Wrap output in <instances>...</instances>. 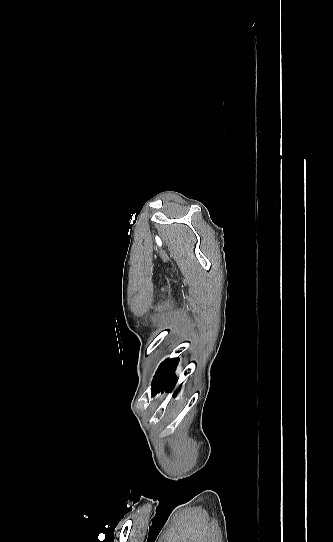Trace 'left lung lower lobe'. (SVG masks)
I'll return each mask as SVG.
<instances>
[{"label": "left lung lower lobe", "instance_id": "left-lung-lower-lobe-1", "mask_svg": "<svg viewBox=\"0 0 333 542\" xmlns=\"http://www.w3.org/2000/svg\"><path fill=\"white\" fill-rule=\"evenodd\" d=\"M178 360V358L166 360L159 366L152 381L153 395L164 388L172 389L175 386L176 379L173 376V372L177 366ZM178 390L179 389H177L175 393H177Z\"/></svg>", "mask_w": 333, "mask_h": 542}]
</instances>
